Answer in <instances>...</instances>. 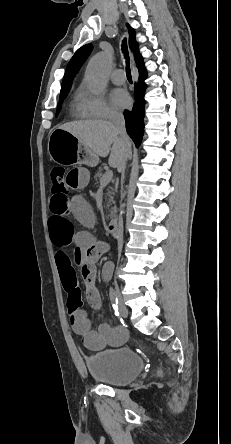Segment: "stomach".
<instances>
[{
  "label": "stomach",
  "mask_w": 231,
  "mask_h": 444,
  "mask_svg": "<svg viewBox=\"0 0 231 444\" xmlns=\"http://www.w3.org/2000/svg\"><path fill=\"white\" fill-rule=\"evenodd\" d=\"M48 152L50 157L59 164H86L88 166L98 164V157L89 148L77 137L59 128L49 136Z\"/></svg>",
  "instance_id": "1"
}]
</instances>
